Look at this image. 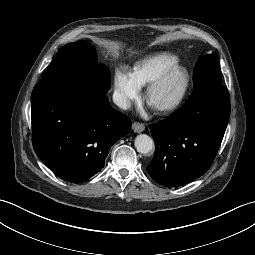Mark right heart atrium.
I'll use <instances>...</instances> for the list:
<instances>
[{
  "instance_id": "obj_1",
  "label": "right heart atrium",
  "mask_w": 255,
  "mask_h": 255,
  "mask_svg": "<svg viewBox=\"0 0 255 255\" xmlns=\"http://www.w3.org/2000/svg\"><path fill=\"white\" fill-rule=\"evenodd\" d=\"M114 88L116 100L123 108L138 98L141 89L134 73L123 66L115 72Z\"/></svg>"
}]
</instances>
